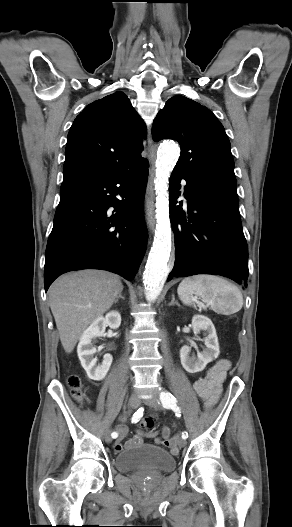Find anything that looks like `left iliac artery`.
<instances>
[{
	"instance_id": "obj_1",
	"label": "left iliac artery",
	"mask_w": 292,
	"mask_h": 527,
	"mask_svg": "<svg viewBox=\"0 0 292 527\" xmlns=\"http://www.w3.org/2000/svg\"><path fill=\"white\" fill-rule=\"evenodd\" d=\"M160 400L164 408L172 409L177 416H180V408L177 405V399L168 391H161ZM182 438H188V433L186 431L182 432Z\"/></svg>"
}]
</instances>
